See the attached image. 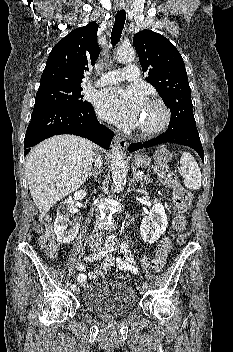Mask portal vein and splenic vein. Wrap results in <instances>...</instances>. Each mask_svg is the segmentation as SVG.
<instances>
[{
  "label": "portal vein and splenic vein",
  "mask_w": 233,
  "mask_h": 352,
  "mask_svg": "<svg viewBox=\"0 0 233 352\" xmlns=\"http://www.w3.org/2000/svg\"><path fill=\"white\" fill-rule=\"evenodd\" d=\"M137 175H138L139 177L144 176V174H143L142 172H138Z\"/></svg>",
  "instance_id": "obj_1"
}]
</instances>
